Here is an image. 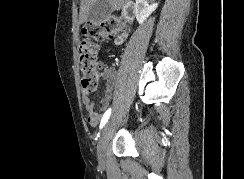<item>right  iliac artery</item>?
Masks as SVG:
<instances>
[{
	"instance_id": "82829eb1",
	"label": "right iliac artery",
	"mask_w": 244,
	"mask_h": 179,
	"mask_svg": "<svg viewBox=\"0 0 244 179\" xmlns=\"http://www.w3.org/2000/svg\"><path fill=\"white\" fill-rule=\"evenodd\" d=\"M111 114V108H109L105 114L102 117L101 123H100V128H103V126L106 124V122L108 121L109 117Z\"/></svg>"
}]
</instances>
